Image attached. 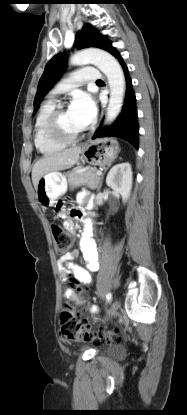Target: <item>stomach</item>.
Segmentation results:
<instances>
[{
    "mask_svg": "<svg viewBox=\"0 0 187 415\" xmlns=\"http://www.w3.org/2000/svg\"><path fill=\"white\" fill-rule=\"evenodd\" d=\"M119 153L118 142L113 138L90 141L82 148L81 157L91 165H110ZM36 199L43 209L52 207L67 191L66 176L59 171L50 172L40 178L36 186Z\"/></svg>",
    "mask_w": 187,
    "mask_h": 415,
    "instance_id": "stomach-1",
    "label": "stomach"
}]
</instances>
